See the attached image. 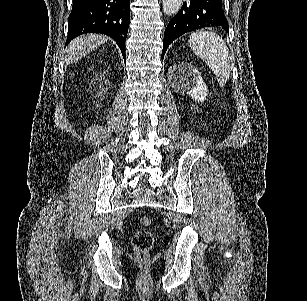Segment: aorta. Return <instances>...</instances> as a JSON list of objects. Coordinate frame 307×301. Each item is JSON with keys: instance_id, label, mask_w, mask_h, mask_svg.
Listing matches in <instances>:
<instances>
[{"instance_id": "762f6f07", "label": "aorta", "mask_w": 307, "mask_h": 301, "mask_svg": "<svg viewBox=\"0 0 307 301\" xmlns=\"http://www.w3.org/2000/svg\"><path fill=\"white\" fill-rule=\"evenodd\" d=\"M182 2L183 0H163V12L168 14V16L176 14L179 8H181Z\"/></svg>"}]
</instances>
